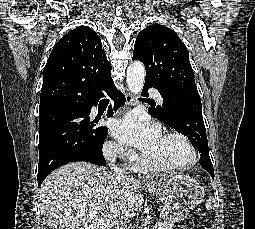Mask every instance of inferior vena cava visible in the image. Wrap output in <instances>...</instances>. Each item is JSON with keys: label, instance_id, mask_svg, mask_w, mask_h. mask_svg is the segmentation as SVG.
<instances>
[{"label": "inferior vena cava", "instance_id": "inferior-vena-cava-1", "mask_svg": "<svg viewBox=\"0 0 255 229\" xmlns=\"http://www.w3.org/2000/svg\"><path fill=\"white\" fill-rule=\"evenodd\" d=\"M117 153H118V150H114V151H110L108 153V159L110 160V168L111 170L114 172V174L118 177H122V178H129L130 177V174L128 172H126L125 170L119 168L116 164H115V161H116V157H117ZM125 229H130L129 227L125 228Z\"/></svg>", "mask_w": 255, "mask_h": 229}]
</instances>
